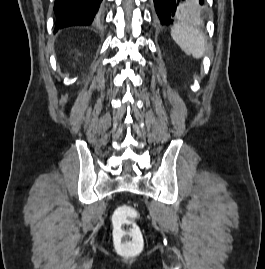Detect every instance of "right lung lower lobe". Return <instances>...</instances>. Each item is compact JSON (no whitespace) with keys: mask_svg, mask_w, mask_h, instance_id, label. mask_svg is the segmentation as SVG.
I'll return each mask as SVG.
<instances>
[{"mask_svg":"<svg viewBox=\"0 0 265 269\" xmlns=\"http://www.w3.org/2000/svg\"><path fill=\"white\" fill-rule=\"evenodd\" d=\"M101 2L102 0H55L54 32L69 26L90 25Z\"/></svg>","mask_w":265,"mask_h":269,"instance_id":"1","label":"right lung lower lobe"}]
</instances>
